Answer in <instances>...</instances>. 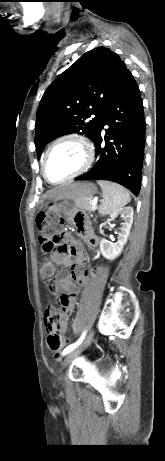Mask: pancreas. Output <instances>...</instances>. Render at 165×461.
<instances>
[{
  "mask_svg": "<svg viewBox=\"0 0 165 461\" xmlns=\"http://www.w3.org/2000/svg\"><path fill=\"white\" fill-rule=\"evenodd\" d=\"M76 209L94 211L96 207L92 206V198H76L74 199Z\"/></svg>",
  "mask_w": 165,
  "mask_h": 461,
  "instance_id": "obj_1",
  "label": "pancreas"
}]
</instances>
